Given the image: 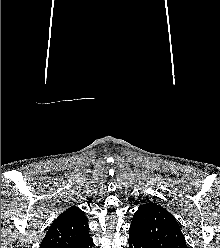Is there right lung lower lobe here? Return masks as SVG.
<instances>
[{
	"label": "right lung lower lobe",
	"instance_id": "obj_1",
	"mask_svg": "<svg viewBox=\"0 0 220 248\" xmlns=\"http://www.w3.org/2000/svg\"><path fill=\"white\" fill-rule=\"evenodd\" d=\"M92 246H93V241L91 240L83 245L78 246L77 248H92Z\"/></svg>",
	"mask_w": 220,
	"mask_h": 248
}]
</instances>
